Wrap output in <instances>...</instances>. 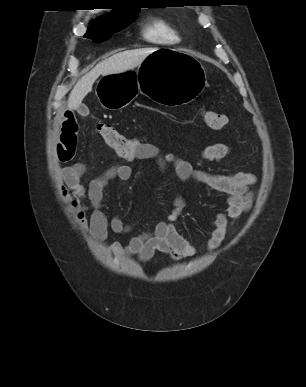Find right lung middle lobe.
Segmentation results:
<instances>
[{"label":"right lung middle lobe","instance_id":"right-lung-middle-lobe-1","mask_svg":"<svg viewBox=\"0 0 306 387\" xmlns=\"http://www.w3.org/2000/svg\"><path fill=\"white\" fill-rule=\"evenodd\" d=\"M139 10H132L118 14L104 23H94L89 26L85 38L92 39L94 42L107 40L113 33L123 29L137 18Z\"/></svg>","mask_w":306,"mask_h":387}]
</instances>
